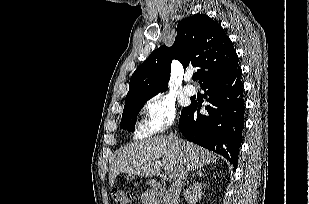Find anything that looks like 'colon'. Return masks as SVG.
Here are the masks:
<instances>
[{
    "label": "colon",
    "mask_w": 309,
    "mask_h": 204,
    "mask_svg": "<svg viewBox=\"0 0 309 204\" xmlns=\"http://www.w3.org/2000/svg\"><path fill=\"white\" fill-rule=\"evenodd\" d=\"M113 198L116 204H130L132 200V193L125 189H115L113 191Z\"/></svg>",
    "instance_id": "obj_1"
}]
</instances>
